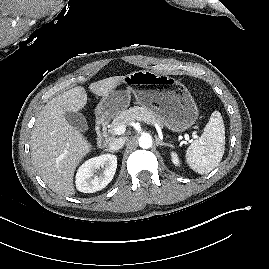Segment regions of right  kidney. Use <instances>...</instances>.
I'll return each instance as SVG.
<instances>
[{
	"mask_svg": "<svg viewBox=\"0 0 269 269\" xmlns=\"http://www.w3.org/2000/svg\"><path fill=\"white\" fill-rule=\"evenodd\" d=\"M105 167L100 176H94V171ZM117 168V157L103 154L84 162L76 174V187L80 192L93 193L105 188L113 179Z\"/></svg>",
	"mask_w": 269,
	"mask_h": 269,
	"instance_id": "obj_1",
	"label": "right kidney"
}]
</instances>
